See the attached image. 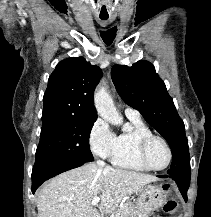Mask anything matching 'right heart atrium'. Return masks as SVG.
<instances>
[{
  "label": "right heart atrium",
  "mask_w": 211,
  "mask_h": 217,
  "mask_svg": "<svg viewBox=\"0 0 211 217\" xmlns=\"http://www.w3.org/2000/svg\"><path fill=\"white\" fill-rule=\"evenodd\" d=\"M116 134L102 119H97L89 131V144L94 154L110 159L116 145Z\"/></svg>",
  "instance_id": "1"
}]
</instances>
